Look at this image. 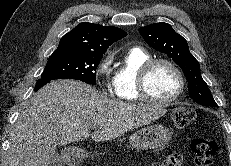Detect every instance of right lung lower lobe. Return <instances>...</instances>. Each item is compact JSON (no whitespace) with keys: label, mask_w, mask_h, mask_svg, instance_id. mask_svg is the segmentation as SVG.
Returning <instances> with one entry per match:
<instances>
[{"label":"right lung lower lobe","mask_w":231,"mask_h":166,"mask_svg":"<svg viewBox=\"0 0 231 166\" xmlns=\"http://www.w3.org/2000/svg\"><path fill=\"white\" fill-rule=\"evenodd\" d=\"M51 80L48 79H39L35 85V92L38 91L42 86L46 85L49 83Z\"/></svg>","instance_id":"1"}]
</instances>
